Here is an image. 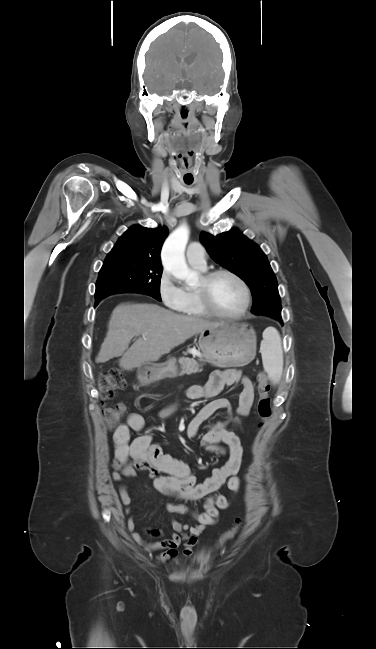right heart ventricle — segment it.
<instances>
[{"label":"right heart ventricle","instance_id":"1","mask_svg":"<svg viewBox=\"0 0 376 649\" xmlns=\"http://www.w3.org/2000/svg\"><path fill=\"white\" fill-rule=\"evenodd\" d=\"M195 267V266H194ZM197 270L203 272L205 268L195 267ZM184 299L178 310L186 315L192 317H209L210 314L203 308L195 287H185Z\"/></svg>","mask_w":376,"mask_h":649}]
</instances>
